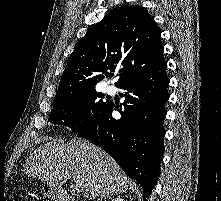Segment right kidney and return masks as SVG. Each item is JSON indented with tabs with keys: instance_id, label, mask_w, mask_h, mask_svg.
Returning <instances> with one entry per match:
<instances>
[{
	"instance_id": "right-kidney-1",
	"label": "right kidney",
	"mask_w": 221,
	"mask_h": 201,
	"mask_svg": "<svg viewBox=\"0 0 221 201\" xmlns=\"http://www.w3.org/2000/svg\"><path fill=\"white\" fill-rule=\"evenodd\" d=\"M112 201H125L124 199L120 198V197H117L115 199H112Z\"/></svg>"
}]
</instances>
